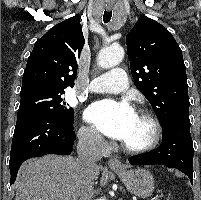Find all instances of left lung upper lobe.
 <instances>
[{"instance_id":"left-lung-upper-lobe-1","label":"left lung upper lobe","mask_w":201,"mask_h":200,"mask_svg":"<svg viewBox=\"0 0 201 200\" xmlns=\"http://www.w3.org/2000/svg\"><path fill=\"white\" fill-rule=\"evenodd\" d=\"M126 44L134 83L162 126L177 117L189 118L186 67L172 34L141 16L127 34Z\"/></svg>"}]
</instances>
